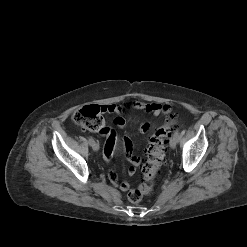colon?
I'll return each mask as SVG.
<instances>
[{
    "label": "colon",
    "mask_w": 247,
    "mask_h": 247,
    "mask_svg": "<svg viewBox=\"0 0 247 247\" xmlns=\"http://www.w3.org/2000/svg\"><path fill=\"white\" fill-rule=\"evenodd\" d=\"M105 112L104 106L87 105L73 114V121L84 129L101 132L104 128L103 113ZM176 125L177 119L172 118L152 134L147 148V160L142 166L144 182L128 194V199L132 203L139 202L144 195L153 191L154 181L164 163L167 138L171 135Z\"/></svg>",
    "instance_id": "5ec220e1"
}]
</instances>
